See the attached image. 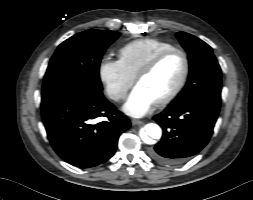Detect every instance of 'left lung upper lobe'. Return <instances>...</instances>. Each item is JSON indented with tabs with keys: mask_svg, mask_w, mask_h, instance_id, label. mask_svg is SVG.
Instances as JSON below:
<instances>
[{
	"mask_svg": "<svg viewBox=\"0 0 253 200\" xmlns=\"http://www.w3.org/2000/svg\"><path fill=\"white\" fill-rule=\"evenodd\" d=\"M176 36L188 53L190 73L186 86L172 103H188L202 95L221 96V69L212 48L188 33L178 32Z\"/></svg>",
	"mask_w": 253,
	"mask_h": 200,
	"instance_id": "1",
	"label": "left lung upper lobe"
}]
</instances>
